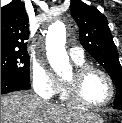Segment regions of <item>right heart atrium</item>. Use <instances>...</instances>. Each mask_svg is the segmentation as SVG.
<instances>
[{
    "label": "right heart atrium",
    "mask_w": 122,
    "mask_h": 123,
    "mask_svg": "<svg viewBox=\"0 0 122 123\" xmlns=\"http://www.w3.org/2000/svg\"><path fill=\"white\" fill-rule=\"evenodd\" d=\"M30 78L34 91L42 98L51 99L59 92L61 81L41 60L31 63Z\"/></svg>",
    "instance_id": "1"
}]
</instances>
